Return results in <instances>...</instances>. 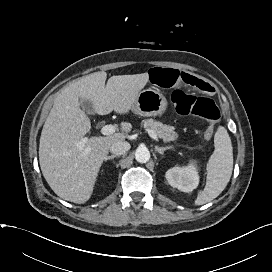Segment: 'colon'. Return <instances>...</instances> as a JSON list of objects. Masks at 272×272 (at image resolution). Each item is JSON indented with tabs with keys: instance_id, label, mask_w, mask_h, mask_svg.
<instances>
[{
	"instance_id": "1",
	"label": "colon",
	"mask_w": 272,
	"mask_h": 272,
	"mask_svg": "<svg viewBox=\"0 0 272 272\" xmlns=\"http://www.w3.org/2000/svg\"><path fill=\"white\" fill-rule=\"evenodd\" d=\"M170 99L177 113L201 117L208 121L209 125L205 130V137H212L214 126L220 117L219 109L212 99L188 94L179 89L172 92Z\"/></svg>"
}]
</instances>
